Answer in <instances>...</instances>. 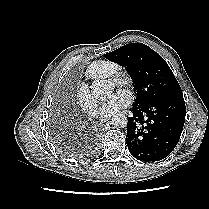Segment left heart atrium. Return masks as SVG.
Returning a JSON list of instances; mask_svg holds the SVG:
<instances>
[{
    "label": "left heart atrium",
    "mask_w": 209,
    "mask_h": 209,
    "mask_svg": "<svg viewBox=\"0 0 209 209\" xmlns=\"http://www.w3.org/2000/svg\"><path fill=\"white\" fill-rule=\"evenodd\" d=\"M130 102V97L126 92H116L108 101L102 104L99 109V116L108 117L119 110L125 108Z\"/></svg>",
    "instance_id": "left-heart-atrium-1"
}]
</instances>
